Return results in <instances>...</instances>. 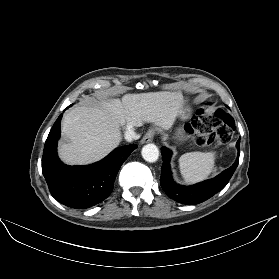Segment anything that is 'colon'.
Listing matches in <instances>:
<instances>
[{"instance_id": "obj_1", "label": "colon", "mask_w": 279, "mask_h": 279, "mask_svg": "<svg viewBox=\"0 0 279 279\" xmlns=\"http://www.w3.org/2000/svg\"><path fill=\"white\" fill-rule=\"evenodd\" d=\"M194 143L199 147H216L227 143L235 130L233 118L222 110H201L191 122Z\"/></svg>"}]
</instances>
